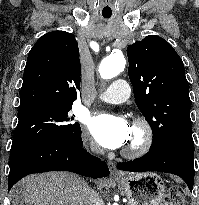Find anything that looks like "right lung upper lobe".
<instances>
[{"label":"right lung upper lobe","instance_id":"cb5924a9","mask_svg":"<svg viewBox=\"0 0 199 205\" xmlns=\"http://www.w3.org/2000/svg\"><path fill=\"white\" fill-rule=\"evenodd\" d=\"M81 63L72 33L49 32L28 54L19 111L37 106L72 104L80 91Z\"/></svg>","mask_w":199,"mask_h":205}]
</instances>
